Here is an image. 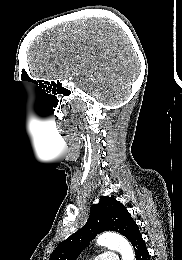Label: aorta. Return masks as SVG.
<instances>
[{
	"mask_svg": "<svg viewBox=\"0 0 182 260\" xmlns=\"http://www.w3.org/2000/svg\"><path fill=\"white\" fill-rule=\"evenodd\" d=\"M99 246L108 247L120 253L122 260H135V254L130 243L116 233H104L97 238Z\"/></svg>",
	"mask_w": 182,
	"mask_h": 260,
	"instance_id": "aorta-1",
	"label": "aorta"
}]
</instances>
